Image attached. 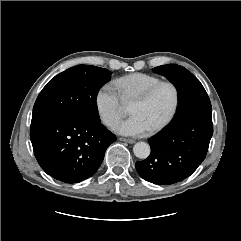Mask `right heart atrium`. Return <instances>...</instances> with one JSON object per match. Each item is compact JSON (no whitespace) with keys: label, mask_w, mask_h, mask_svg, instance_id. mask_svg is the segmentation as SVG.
Instances as JSON below:
<instances>
[{"label":"right heart atrium","mask_w":241,"mask_h":241,"mask_svg":"<svg viewBox=\"0 0 241 241\" xmlns=\"http://www.w3.org/2000/svg\"><path fill=\"white\" fill-rule=\"evenodd\" d=\"M95 106L101 120L108 127H113L121 116L122 101L111 85L105 84L98 89Z\"/></svg>","instance_id":"1"}]
</instances>
